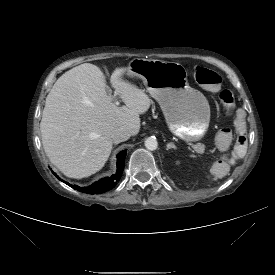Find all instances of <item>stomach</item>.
Instances as JSON below:
<instances>
[{
	"mask_svg": "<svg viewBox=\"0 0 275 275\" xmlns=\"http://www.w3.org/2000/svg\"><path fill=\"white\" fill-rule=\"evenodd\" d=\"M127 74L140 78L160 105L169 130L186 142L202 139L210 122L206 97L189 86L185 67L176 62L134 59Z\"/></svg>",
	"mask_w": 275,
	"mask_h": 275,
	"instance_id": "stomach-1",
	"label": "stomach"
}]
</instances>
